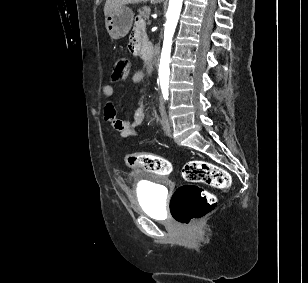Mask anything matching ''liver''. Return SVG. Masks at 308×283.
<instances>
[{
    "label": "liver",
    "instance_id": "obj_1",
    "mask_svg": "<svg viewBox=\"0 0 308 283\" xmlns=\"http://www.w3.org/2000/svg\"><path fill=\"white\" fill-rule=\"evenodd\" d=\"M148 0H106L105 6H104V14L107 16L114 8L120 6V5H126V4H136V3H142L147 2ZM151 2H158L160 0H150Z\"/></svg>",
    "mask_w": 308,
    "mask_h": 283
}]
</instances>
